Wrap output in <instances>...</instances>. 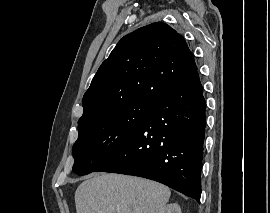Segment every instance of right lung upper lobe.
Returning <instances> with one entry per match:
<instances>
[{"label": "right lung upper lobe", "mask_w": 270, "mask_h": 213, "mask_svg": "<svg viewBox=\"0 0 270 213\" xmlns=\"http://www.w3.org/2000/svg\"><path fill=\"white\" fill-rule=\"evenodd\" d=\"M185 39L156 22L124 36L101 64L83 97L79 122L134 101L157 103L195 72Z\"/></svg>", "instance_id": "obj_1"}]
</instances>
